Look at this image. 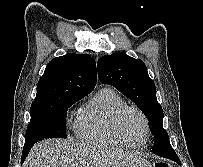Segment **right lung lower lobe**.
Segmentation results:
<instances>
[{
  "label": "right lung lower lobe",
  "mask_w": 203,
  "mask_h": 167,
  "mask_svg": "<svg viewBox=\"0 0 203 167\" xmlns=\"http://www.w3.org/2000/svg\"><path fill=\"white\" fill-rule=\"evenodd\" d=\"M35 142L36 141L25 143L24 148H23L21 163L24 162L25 158L27 157L28 153L30 152V150Z\"/></svg>",
  "instance_id": "right-lung-lower-lobe-1"
}]
</instances>
